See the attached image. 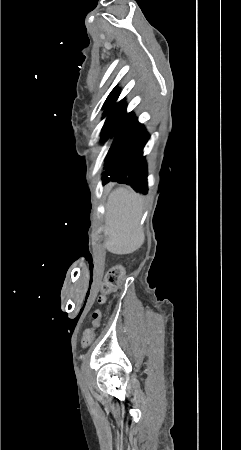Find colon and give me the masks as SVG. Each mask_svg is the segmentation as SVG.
Instances as JSON below:
<instances>
[{
	"mask_svg": "<svg viewBox=\"0 0 241 450\" xmlns=\"http://www.w3.org/2000/svg\"><path fill=\"white\" fill-rule=\"evenodd\" d=\"M123 274L124 269L122 265H117L105 273L102 284V293L99 299L100 304H103L106 299L117 290ZM92 318L94 320V323L96 325H99L103 318L101 309H97L93 313ZM93 338L94 334L92 329L86 330L83 335L82 346L84 348H89L93 342Z\"/></svg>",
	"mask_w": 241,
	"mask_h": 450,
	"instance_id": "colon-1",
	"label": "colon"
}]
</instances>
